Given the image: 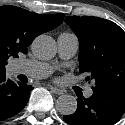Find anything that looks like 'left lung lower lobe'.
Masks as SVG:
<instances>
[{
	"instance_id": "left-lung-lower-lobe-1",
	"label": "left lung lower lobe",
	"mask_w": 125,
	"mask_h": 125,
	"mask_svg": "<svg viewBox=\"0 0 125 125\" xmlns=\"http://www.w3.org/2000/svg\"><path fill=\"white\" fill-rule=\"evenodd\" d=\"M77 103L75 113L63 116L69 125H114L125 113V91L93 90L90 98L79 97Z\"/></svg>"
}]
</instances>
